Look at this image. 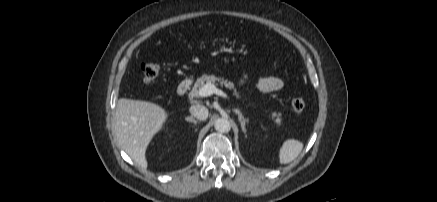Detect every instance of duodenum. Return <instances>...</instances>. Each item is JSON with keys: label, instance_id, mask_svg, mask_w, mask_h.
Segmentation results:
<instances>
[{"label": "duodenum", "instance_id": "1", "mask_svg": "<svg viewBox=\"0 0 437 202\" xmlns=\"http://www.w3.org/2000/svg\"><path fill=\"white\" fill-rule=\"evenodd\" d=\"M190 85H191L190 79H184L183 81H181L177 86V94L179 96L185 95L188 92Z\"/></svg>", "mask_w": 437, "mask_h": 202}]
</instances>
